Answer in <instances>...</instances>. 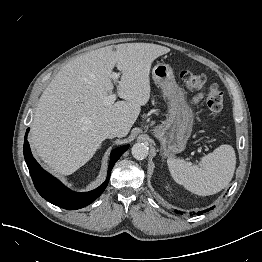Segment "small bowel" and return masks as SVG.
<instances>
[{
  "label": "small bowel",
  "instance_id": "c3829d8e",
  "mask_svg": "<svg viewBox=\"0 0 262 262\" xmlns=\"http://www.w3.org/2000/svg\"><path fill=\"white\" fill-rule=\"evenodd\" d=\"M203 98H204V93L203 92H199L194 97V102H200Z\"/></svg>",
  "mask_w": 262,
  "mask_h": 262
}]
</instances>
